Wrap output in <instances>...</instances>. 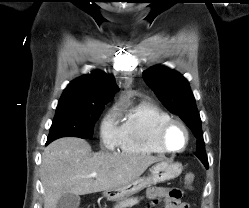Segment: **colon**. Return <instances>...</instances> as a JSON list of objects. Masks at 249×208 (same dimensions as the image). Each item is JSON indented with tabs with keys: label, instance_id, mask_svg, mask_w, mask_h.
Masks as SVG:
<instances>
[{
	"label": "colon",
	"instance_id": "obj_1",
	"mask_svg": "<svg viewBox=\"0 0 249 208\" xmlns=\"http://www.w3.org/2000/svg\"><path fill=\"white\" fill-rule=\"evenodd\" d=\"M194 180H195V176H194V174H187L186 176H185V183H186V185H188V186H191L192 185V183L194 182Z\"/></svg>",
	"mask_w": 249,
	"mask_h": 208
}]
</instances>
